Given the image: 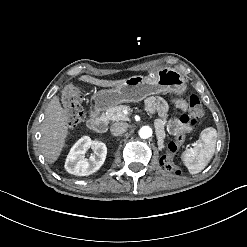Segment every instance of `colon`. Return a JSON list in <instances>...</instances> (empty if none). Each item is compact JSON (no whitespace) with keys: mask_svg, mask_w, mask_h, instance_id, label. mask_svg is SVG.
I'll return each instance as SVG.
<instances>
[{"mask_svg":"<svg viewBox=\"0 0 247 247\" xmlns=\"http://www.w3.org/2000/svg\"><path fill=\"white\" fill-rule=\"evenodd\" d=\"M63 111L71 125H77L83 118L82 97L76 87L68 86L61 94ZM189 114H183L178 120L181 122L180 131L175 134L176 141H170L167 147L168 154L162 158L161 164L167 171L180 174L181 164L174 159L181 142L186 139L188 133L194 130L195 123L203 114V106L196 95H189Z\"/></svg>","mask_w":247,"mask_h":247,"instance_id":"obj_1","label":"colon"}]
</instances>
